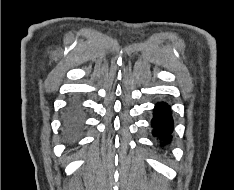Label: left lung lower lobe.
<instances>
[{
  "label": "left lung lower lobe",
  "instance_id": "obj_1",
  "mask_svg": "<svg viewBox=\"0 0 234 190\" xmlns=\"http://www.w3.org/2000/svg\"><path fill=\"white\" fill-rule=\"evenodd\" d=\"M151 126L153 127V135L160 138L161 146H165L170 142L173 131V119L168 104L164 102L157 103L154 108Z\"/></svg>",
  "mask_w": 234,
  "mask_h": 190
}]
</instances>
